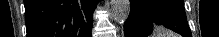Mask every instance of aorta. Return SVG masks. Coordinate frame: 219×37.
Instances as JSON below:
<instances>
[{
    "instance_id": "1",
    "label": "aorta",
    "mask_w": 219,
    "mask_h": 37,
    "mask_svg": "<svg viewBox=\"0 0 219 37\" xmlns=\"http://www.w3.org/2000/svg\"><path fill=\"white\" fill-rule=\"evenodd\" d=\"M112 16L117 23H124L130 13V0H111Z\"/></svg>"
}]
</instances>
